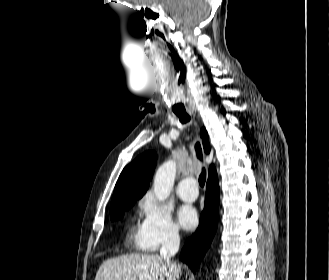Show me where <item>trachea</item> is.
<instances>
[{"mask_svg": "<svg viewBox=\"0 0 329 280\" xmlns=\"http://www.w3.org/2000/svg\"><path fill=\"white\" fill-rule=\"evenodd\" d=\"M176 115L179 117V120L182 124L190 121V116L186 113H176ZM195 150H196L197 158L202 161V150L199 143H196ZM205 181H206V173H205V169L203 168L202 173L199 176V184L201 187L205 185Z\"/></svg>", "mask_w": 329, "mask_h": 280, "instance_id": "3493384b", "label": "trachea"}]
</instances>
